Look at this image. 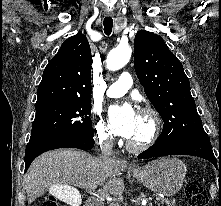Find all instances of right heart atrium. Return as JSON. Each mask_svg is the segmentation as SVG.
<instances>
[{
    "label": "right heart atrium",
    "instance_id": "obj_1",
    "mask_svg": "<svg viewBox=\"0 0 221 206\" xmlns=\"http://www.w3.org/2000/svg\"><path fill=\"white\" fill-rule=\"evenodd\" d=\"M97 141L104 147H111L114 144V137L109 128L98 119L95 125Z\"/></svg>",
    "mask_w": 221,
    "mask_h": 206
}]
</instances>
